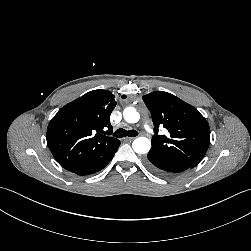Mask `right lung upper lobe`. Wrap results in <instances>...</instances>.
<instances>
[{
    "label": "right lung upper lobe",
    "mask_w": 251,
    "mask_h": 251,
    "mask_svg": "<svg viewBox=\"0 0 251 251\" xmlns=\"http://www.w3.org/2000/svg\"><path fill=\"white\" fill-rule=\"evenodd\" d=\"M108 90H93L62 107L47 128V144L68 171L91 166L120 143L112 132L110 114L116 106Z\"/></svg>",
    "instance_id": "obj_1"
}]
</instances>
